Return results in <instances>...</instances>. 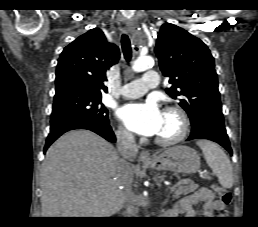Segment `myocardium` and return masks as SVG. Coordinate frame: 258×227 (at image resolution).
<instances>
[{
  "label": "myocardium",
  "mask_w": 258,
  "mask_h": 227,
  "mask_svg": "<svg viewBox=\"0 0 258 227\" xmlns=\"http://www.w3.org/2000/svg\"><path fill=\"white\" fill-rule=\"evenodd\" d=\"M164 113L172 114L177 117L179 121V131L178 133L170 138L155 137V142L161 146H171L181 142L187 135L189 130V118L186 112L180 107L168 106L164 109Z\"/></svg>",
  "instance_id": "1"
}]
</instances>
